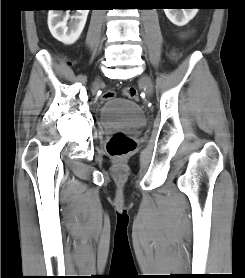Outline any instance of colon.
Masks as SVG:
<instances>
[{
  "mask_svg": "<svg viewBox=\"0 0 245 278\" xmlns=\"http://www.w3.org/2000/svg\"><path fill=\"white\" fill-rule=\"evenodd\" d=\"M200 8H208L207 5H201ZM124 94L131 100L138 99L137 89L135 87H126L124 89ZM114 93L111 91H106L103 93V98L109 100L113 98ZM136 148L135 141L126 136L123 132L117 131L110 138L107 144V152L109 156L115 161H121L125 157L129 156L134 152Z\"/></svg>",
  "mask_w": 245,
  "mask_h": 278,
  "instance_id": "5ec220e1",
  "label": "colon"
}]
</instances>
